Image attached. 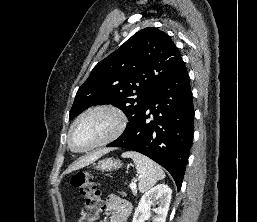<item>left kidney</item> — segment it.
<instances>
[{
	"instance_id": "left-kidney-1",
	"label": "left kidney",
	"mask_w": 257,
	"mask_h": 222,
	"mask_svg": "<svg viewBox=\"0 0 257 222\" xmlns=\"http://www.w3.org/2000/svg\"><path fill=\"white\" fill-rule=\"evenodd\" d=\"M172 190L165 184H159L148 190L141 197L138 207L135 210L132 222H144V217L151 211L150 205L152 202L158 205L152 209L156 216L153 217V222H165L168 214Z\"/></svg>"
}]
</instances>
